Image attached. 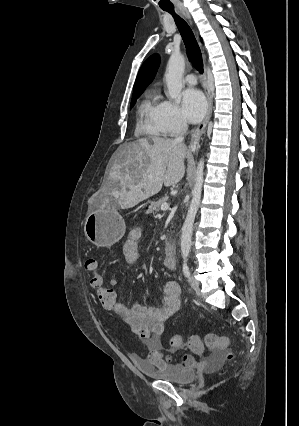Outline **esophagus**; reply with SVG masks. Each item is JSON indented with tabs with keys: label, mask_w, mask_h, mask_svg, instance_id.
I'll list each match as a JSON object with an SVG mask.
<instances>
[{
	"label": "esophagus",
	"mask_w": 299,
	"mask_h": 426,
	"mask_svg": "<svg viewBox=\"0 0 299 426\" xmlns=\"http://www.w3.org/2000/svg\"><path fill=\"white\" fill-rule=\"evenodd\" d=\"M183 14L186 17V19L190 22V24H192L190 14L187 11H183ZM203 78H204L205 94H206V97H207V100H208V112H207V115H206L205 119L203 120V122H201L197 126V128L195 129V131L192 134L191 141H190V149L191 150H196L200 147L201 136L205 133L206 126H207V124L210 120L211 113H212L213 102H212L211 93L208 89L207 82H206V68L204 69Z\"/></svg>",
	"instance_id": "34e87169"
}]
</instances>
